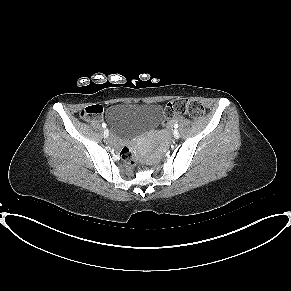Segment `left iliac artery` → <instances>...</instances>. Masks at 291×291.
<instances>
[{"mask_svg":"<svg viewBox=\"0 0 291 291\" xmlns=\"http://www.w3.org/2000/svg\"><path fill=\"white\" fill-rule=\"evenodd\" d=\"M174 128H178V124L177 123L174 125Z\"/></svg>","mask_w":291,"mask_h":291,"instance_id":"obj_1","label":"left iliac artery"}]
</instances>
